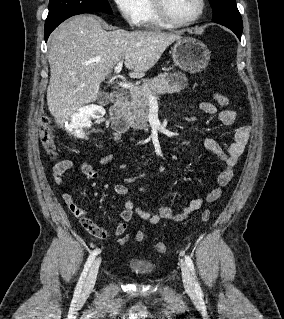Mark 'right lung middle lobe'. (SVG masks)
<instances>
[{"mask_svg":"<svg viewBox=\"0 0 284 319\" xmlns=\"http://www.w3.org/2000/svg\"><path fill=\"white\" fill-rule=\"evenodd\" d=\"M93 11L112 13L108 0H50L45 27L64 18Z\"/></svg>","mask_w":284,"mask_h":319,"instance_id":"right-lung-middle-lobe-1","label":"right lung middle lobe"}]
</instances>
